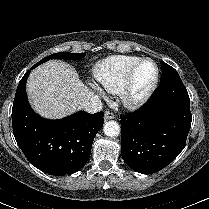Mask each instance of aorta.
Wrapping results in <instances>:
<instances>
[{
  "label": "aorta",
  "mask_w": 209,
  "mask_h": 209,
  "mask_svg": "<svg viewBox=\"0 0 209 209\" xmlns=\"http://www.w3.org/2000/svg\"><path fill=\"white\" fill-rule=\"evenodd\" d=\"M103 131L109 137H116L120 134V125L114 120L108 121L105 123Z\"/></svg>",
  "instance_id": "obj_1"
}]
</instances>
